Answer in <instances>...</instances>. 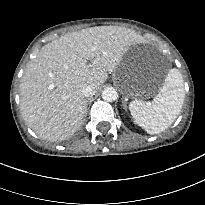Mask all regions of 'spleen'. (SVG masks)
<instances>
[{"label": "spleen", "instance_id": "obj_1", "mask_svg": "<svg viewBox=\"0 0 205 205\" xmlns=\"http://www.w3.org/2000/svg\"><path fill=\"white\" fill-rule=\"evenodd\" d=\"M185 91L181 72L170 69L162 88L152 103L134 100L129 110L134 122L147 133L153 135L168 128L180 114L184 103Z\"/></svg>", "mask_w": 205, "mask_h": 205}]
</instances>
